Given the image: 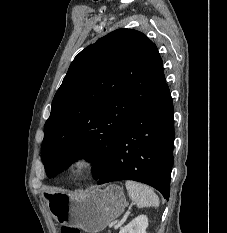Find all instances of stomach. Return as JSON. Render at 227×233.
<instances>
[{"mask_svg":"<svg viewBox=\"0 0 227 233\" xmlns=\"http://www.w3.org/2000/svg\"><path fill=\"white\" fill-rule=\"evenodd\" d=\"M47 203L57 222L89 233L105 229L127 206L122 188L116 185L105 190H91L83 195L53 190L47 193Z\"/></svg>","mask_w":227,"mask_h":233,"instance_id":"0dacf381","label":"stomach"}]
</instances>
